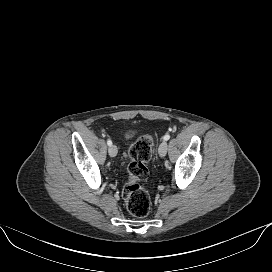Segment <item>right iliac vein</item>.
I'll return each mask as SVG.
<instances>
[{"mask_svg":"<svg viewBox=\"0 0 272 272\" xmlns=\"http://www.w3.org/2000/svg\"><path fill=\"white\" fill-rule=\"evenodd\" d=\"M108 152L111 157H115L118 152L117 147L115 145H111L108 149Z\"/></svg>","mask_w":272,"mask_h":272,"instance_id":"right-iliac-vein-1","label":"right iliac vein"}]
</instances>
